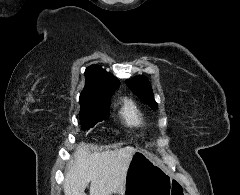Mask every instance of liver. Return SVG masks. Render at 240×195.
I'll return each mask as SVG.
<instances>
[{
	"label": "liver",
	"instance_id": "6515ba94",
	"mask_svg": "<svg viewBox=\"0 0 240 195\" xmlns=\"http://www.w3.org/2000/svg\"><path fill=\"white\" fill-rule=\"evenodd\" d=\"M133 151L130 145L115 151H89L87 145L81 143L65 175V195H86L84 189L90 181V195H123Z\"/></svg>",
	"mask_w": 240,
	"mask_h": 195
}]
</instances>
